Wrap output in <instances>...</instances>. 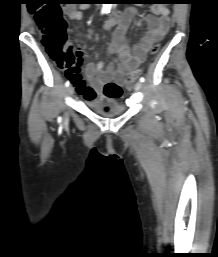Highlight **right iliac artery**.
Masks as SVG:
<instances>
[{
	"instance_id": "obj_1",
	"label": "right iliac artery",
	"mask_w": 218,
	"mask_h": 257,
	"mask_svg": "<svg viewBox=\"0 0 218 257\" xmlns=\"http://www.w3.org/2000/svg\"><path fill=\"white\" fill-rule=\"evenodd\" d=\"M70 85V81L67 80L66 83H65V86L68 87ZM59 121H61V118L58 119Z\"/></svg>"
}]
</instances>
